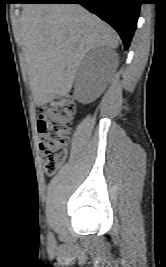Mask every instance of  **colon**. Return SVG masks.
Segmentation results:
<instances>
[{
    "label": "colon",
    "mask_w": 166,
    "mask_h": 267,
    "mask_svg": "<svg viewBox=\"0 0 166 267\" xmlns=\"http://www.w3.org/2000/svg\"><path fill=\"white\" fill-rule=\"evenodd\" d=\"M76 103L72 97H64L41 109L38 130L44 168L53 175L63 165L67 156L70 125L76 115Z\"/></svg>",
    "instance_id": "colon-1"
}]
</instances>
